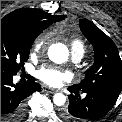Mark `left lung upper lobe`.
Instances as JSON below:
<instances>
[{
    "mask_svg": "<svg viewBox=\"0 0 122 122\" xmlns=\"http://www.w3.org/2000/svg\"><path fill=\"white\" fill-rule=\"evenodd\" d=\"M80 29L93 45L95 62L85 79L71 86L80 91L108 90L120 94L122 90V61L114 42L92 22L81 19Z\"/></svg>",
    "mask_w": 122,
    "mask_h": 122,
    "instance_id": "5c2ea615",
    "label": "left lung upper lobe"
}]
</instances>
